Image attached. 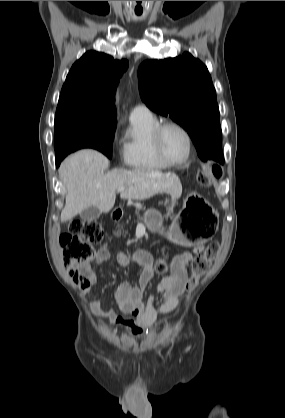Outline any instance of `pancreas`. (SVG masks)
I'll return each mask as SVG.
<instances>
[{
    "label": "pancreas",
    "instance_id": "pancreas-1",
    "mask_svg": "<svg viewBox=\"0 0 285 418\" xmlns=\"http://www.w3.org/2000/svg\"><path fill=\"white\" fill-rule=\"evenodd\" d=\"M173 208H174L173 204L166 206V210H167V213L165 215L166 217H172L173 216ZM139 209H141V208H139Z\"/></svg>",
    "mask_w": 285,
    "mask_h": 418
}]
</instances>
